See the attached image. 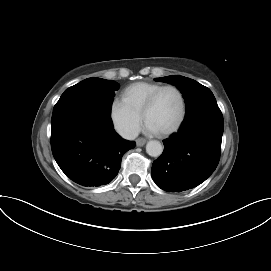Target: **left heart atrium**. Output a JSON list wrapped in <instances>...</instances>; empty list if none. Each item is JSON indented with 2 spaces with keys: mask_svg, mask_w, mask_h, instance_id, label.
<instances>
[{
  "mask_svg": "<svg viewBox=\"0 0 271 271\" xmlns=\"http://www.w3.org/2000/svg\"><path fill=\"white\" fill-rule=\"evenodd\" d=\"M145 128H146L147 132H149V133H152V134L159 133L158 130L148 122H146Z\"/></svg>",
  "mask_w": 271,
  "mask_h": 271,
  "instance_id": "39dd6f15",
  "label": "left heart atrium"
}]
</instances>
